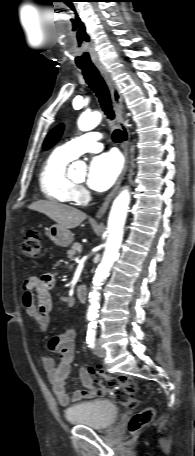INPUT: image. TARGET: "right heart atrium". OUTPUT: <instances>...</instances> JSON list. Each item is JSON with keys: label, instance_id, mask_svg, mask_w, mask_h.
I'll list each match as a JSON object with an SVG mask.
<instances>
[{"label": "right heart atrium", "instance_id": "1", "mask_svg": "<svg viewBox=\"0 0 195 456\" xmlns=\"http://www.w3.org/2000/svg\"><path fill=\"white\" fill-rule=\"evenodd\" d=\"M75 196H76V200L79 201V202H83L86 200V197H87V193H86V190L81 187V186H76L75 188Z\"/></svg>", "mask_w": 195, "mask_h": 456}]
</instances>
